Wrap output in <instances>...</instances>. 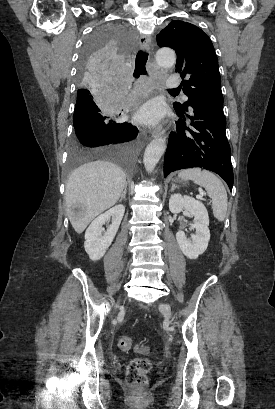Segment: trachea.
Listing matches in <instances>:
<instances>
[{
	"label": "trachea",
	"mask_w": 275,
	"mask_h": 409,
	"mask_svg": "<svg viewBox=\"0 0 275 409\" xmlns=\"http://www.w3.org/2000/svg\"><path fill=\"white\" fill-rule=\"evenodd\" d=\"M148 58V53H145L144 51H139L137 56H136V64H135V70H134V77L139 78L140 75H147L146 71V62ZM169 92L177 91L176 88H171L167 89Z\"/></svg>",
	"instance_id": "trachea-1"
}]
</instances>
